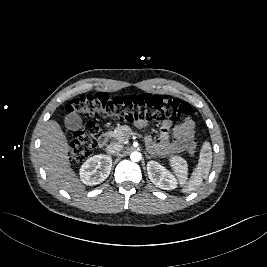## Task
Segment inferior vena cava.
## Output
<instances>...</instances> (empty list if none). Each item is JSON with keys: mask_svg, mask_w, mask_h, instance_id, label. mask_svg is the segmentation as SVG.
I'll list each match as a JSON object with an SVG mask.
<instances>
[{"mask_svg": "<svg viewBox=\"0 0 267 267\" xmlns=\"http://www.w3.org/2000/svg\"><path fill=\"white\" fill-rule=\"evenodd\" d=\"M123 149V145L119 143H111L107 146L106 152L109 155H115Z\"/></svg>", "mask_w": 267, "mask_h": 267, "instance_id": "602c4592", "label": "inferior vena cava"}]
</instances>
